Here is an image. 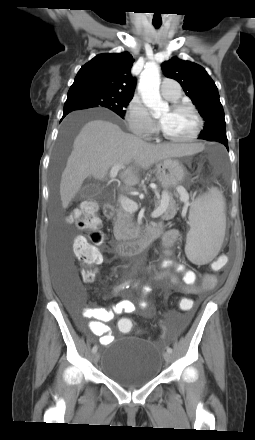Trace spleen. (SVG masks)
Instances as JSON below:
<instances>
[{"instance_id": "3e777b00", "label": "spleen", "mask_w": 255, "mask_h": 440, "mask_svg": "<svg viewBox=\"0 0 255 440\" xmlns=\"http://www.w3.org/2000/svg\"><path fill=\"white\" fill-rule=\"evenodd\" d=\"M224 206V198L216 189L198 197L191 205V229L187 234L185 253L193 263H208L219 252L226 228Z\"/></svg>"}]
</instances>
